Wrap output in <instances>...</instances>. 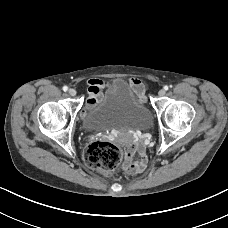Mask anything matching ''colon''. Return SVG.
Wrapping results in <instances>:
<instances>
[{"label": "colon", "mask_w": 228, "mask_h": 228, "mask_svg": "<svg viewBox=\"0 0 228 228\" xmlns=\"http://www.w3.org/2000/svg\"><path fill=\"white\" fill-rule=\"evenodd\" d=\"M123 157L122 150L107 141H94L86 148L83 158L93 170L102 174H111L119 165Z\"/></svg>", "instance_id": "5ec220e1"}]
</instances>
